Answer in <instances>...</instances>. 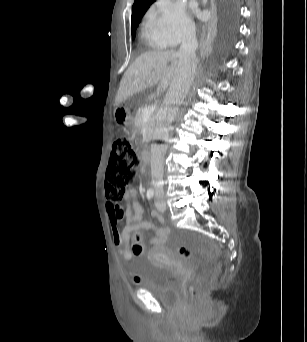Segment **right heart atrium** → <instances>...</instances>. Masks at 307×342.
Here are the masks:
<instances>
[{"label":"right heart atrium","mask_w":307,"mask_h":342,"mask_svg":"<svg viewBox=\"0 0 307 342\" xmlns=\"http://www.w3.org/2000/svg\"><path fill=\"white\" fill-rule=\"evenodd\" d=\"M193 32L184 15L171 6L156 9L144 25L143 34L165 47H174Z\"/></svg>","instance_id":"1"}]
</instances>
